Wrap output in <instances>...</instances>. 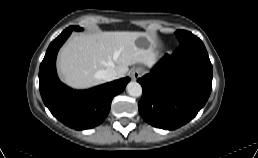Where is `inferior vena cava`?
Here are the masks:
<instances>
[{
  "label": "inferior vena cava",
  "instance_id": "obj_1",
  "mask_svg": "<svg viewBox=\"0 0 258 158\" xmlns=\"http://www.w3.org/2000/svg\"><path fill=\"white\" fill-rule=\"evenodd\" d=\"M97 76L100 79H102L103 81L109 82V81L117 79V72L115 69L108 67V68L100 71L97 74Z\"/></svg>",
  "mask_w": 258,
  "mask_h": 158
}]
</instances>
